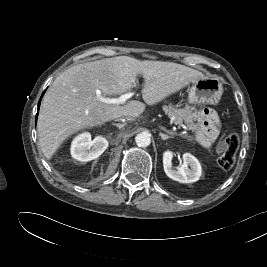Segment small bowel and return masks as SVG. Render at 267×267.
<instances>
[{
    "label": "small bowel",
    "instance_id": "small-bowel-1",
    "mask_svg": "<svg viewBox=\"0 0 267 267\" xmlns=\"http://www.w3.org/2000/svg\"><path fill=\"white\" fill-rule=\"evenodd\" d=\"M197 140L203 146H209L218 136L219 118L212 109H202L197 114Z\"/></svg>",
    "mask_w": 267,
    "mask_h": 267
}]
</instances>
